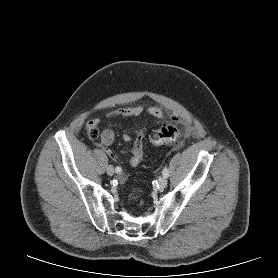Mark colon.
Segmentation results:
<instances>
[{"mask_svg":"<svg viewBox=\"0 0 278 278\" xmlns=\"http://www.w3.org/2000/svg\"><path fill=\"white\" fill-rule=\"evenodd\" d=\"M91 139H96L99 136L97 126H92L88 129ZM180 136V130L176 125L167 124L150 132L149 141L152 145L161 146L164 144L175 142ZM138 195L135 192L134 197Z\"/></svg>","mask_w":278,"mask_h":278,"instance_id":"colon-1","label":"colon"}]
</instances>
